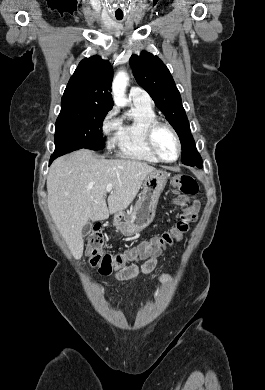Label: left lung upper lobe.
<instances>
[{
    "mask_svg": "<svg viewBox=\"0 0 265 390\" xmlns=\"http://www.w3.org/2000/svg\"><path fill=\"white\" fill-rule=\"evenodd\" d=\"M129 62L137 83L149 93L178 134L182 146V163L201 168L202 158L191 135L180 93L166 65L147 51L132 55Z\"/></svg>",
    "mask_w": 265,
    "mask_h": 390,
    "instance_id": "obj_1",
    "label": "left lung upper lobe"
}]
</instances>
